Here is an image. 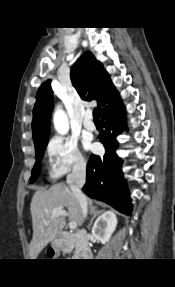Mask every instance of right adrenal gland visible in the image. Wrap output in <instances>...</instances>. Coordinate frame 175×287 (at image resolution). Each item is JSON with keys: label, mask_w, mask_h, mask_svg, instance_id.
I'll return each instance as SVG.
<instances>
[{"label": "right adrenal gland", "mask_w": 175, "mask_h": 287, "mask_svg": "<svg viewBox=\"0 0 175 287\" xmlns=\"http://www.w3.org/2000/svg\"><path fill=\"white\" fill-rule=\"evenodd\" d=\"M103 211L102 210H95L92 212V218L90 220V223L88 225V228L92 225L93 220L96 218V216H98L99 214H101Z\"/></svg>", "instance_id": "obj_1"}]
</instances>
